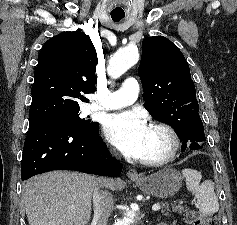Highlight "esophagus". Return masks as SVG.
<instances>
[{"mask_svg":"<svg viewBox=\"0 0 237 225\" xmlns=\"http://www.w3.org/2000/svg\"><path fill=\"white\" fill-rule=\"evenodd\" d=\"M127 176L129 178H138L139 174L137 173V171L135 169H129L127 172Z\"/></svg>","mask_w":237,"mask_h":225,"instance_id":"obj_1","label":"esophagus"}]
</instances>
